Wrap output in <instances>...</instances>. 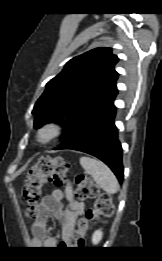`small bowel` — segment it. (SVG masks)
<instances>
[{
	"mask_svg": "<svg viewBox=\"0 0 162 261\" xmlns=\"http://www.w3.org/2000/svg\"><path fill=\"white\" fill-rule=\"evenodd\" d=\"M67 201L66 209L62 202ZM83 204L74 199L70 183H66L64 189H55L51 195L43 198L40 215L32 226L33 240L36 244L42 243L46 248H55L57 238L46 235V224L50 215L56 217L62 226V237L67 239L73 232L77 218L83 213Z\"/></svg>",
	"mask_w": 162,
	"mask_h": 261,
	"instance_id": "1",
	"label": "small bowel"
}]
</instances>
